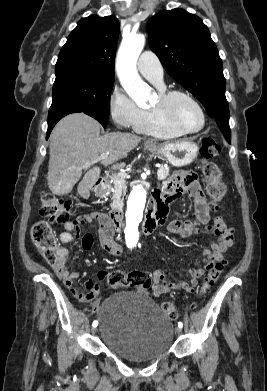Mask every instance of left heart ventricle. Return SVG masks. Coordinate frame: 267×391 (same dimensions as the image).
I'll list each match as a JSON object with an SVG mask.
<instances>
[{"label": "left heart ventricle", "mask_w": 267, "mask_h": 391, "mask_svg": "<svg viewBox=\"0 0 267 391\" xmlns=\"http://www.w3.org/2000/svg\"><path fill=\"white\" fill-rule=\"evenodd\" d=\"M159 102L160 98L155 106ZM169 112L174 121L187 130H196L201 126L202 118L199 110L183 97H176L170 102Z\"/></svg>", "instance_id": "b2bd125f"}]
</instances>
